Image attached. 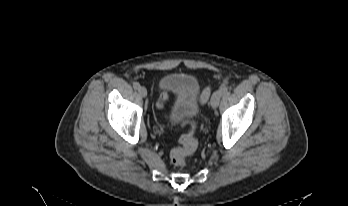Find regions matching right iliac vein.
I'll use <instances>...</instances> for the list:
<instances>
[{"instance_id":"63e3f726","label":"right iliac vein","mask_w":348,"mask_h":206,"mask_svg":"<svg viewBox=\"0 0 348 206\" xmlns=\"http://www.w3.org/2000/svg\"><path fill=\"white\" fill-rule=\"evenodd\" d=\"M138 93L141 97L145 98L147 96V90L145 87L141 86L138 89Z\"/></svg>"}]
</instances>
